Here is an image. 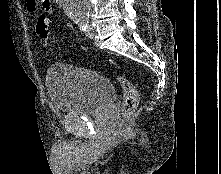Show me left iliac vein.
Returning a JSON list of instances; mask_svg holds the SVG:
<instances>
[{"instance_id":"4c4485c4","label":"left iliac vein","mask_w":221,"mask_h":174,"mask_svg":"<svg viewBox=\"0 0 221 174\" xmlns=\"http://www.w3.org/2000/svg\"><path fill=\"white\" fill-rule=\"evenodd\" d=\"M85 34L88 38H93L94 37V29L91 25H88L85 29Z\"/></svg>"}]
</instances>
